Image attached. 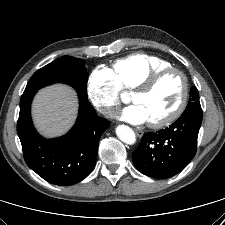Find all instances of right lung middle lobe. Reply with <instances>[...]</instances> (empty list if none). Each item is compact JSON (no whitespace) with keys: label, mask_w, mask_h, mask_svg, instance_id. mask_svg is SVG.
<instances>
[{"label":"right lung middle lobe","mask_w":225,"mask_h":225,"mask_svg":"<svg viewBox=\"0 0 225 225\" xmlns=\"http://www.w3.org/2000/svg\"><path fill=\"white\" fill-rule=\"evenodd\" d=\"M87 77L88 73L82 59L64 56L36 71L24 93L37 92L53 83H65L75 88L79 97L87 99Z\"/></svg>","instance_id":"dd1d6c3e"}]
</instances>
